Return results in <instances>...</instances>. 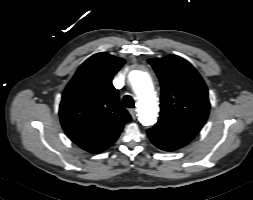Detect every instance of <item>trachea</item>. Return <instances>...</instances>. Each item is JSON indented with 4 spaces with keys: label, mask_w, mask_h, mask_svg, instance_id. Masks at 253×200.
Masks as SVG:
<instances>
[{
    "label": "trachea",
    "mask_w": 253,
    "mask_h": 200,
    "mask_svg": "<svg viewBox=\"0 0 253 200\" xmlns=\"http://www.w3.org/2000/svg\"><path fill=\"white\" fill-rule=\"evenodd\" d=\"M122 105L126 108H134V100L130 95L123 97Z\"/></svg>",
    "instance_id": "obj_1"
}]
</instances>
